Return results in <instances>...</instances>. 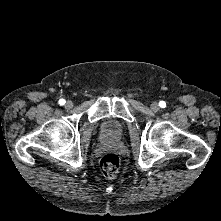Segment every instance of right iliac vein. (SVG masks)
<instances>
[{"mask_svg":"<svg viewBox=\"0 0 221 221\" xmlns=\"http://www.w3.org/2000/svg\"><path fill=\"white\" fill-rule=\"evenodd\" d=\"M73 107V102L68 100L66 103H65V108L67 110H70L71 108Z\"/></svg>","mask_w":221,"mask_h":221,"instance_id":"obj_1","label":"right iliac vein"}]
</instances>
